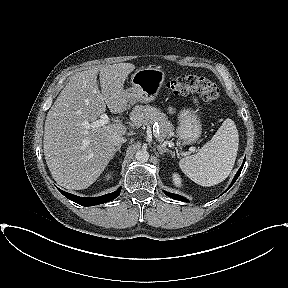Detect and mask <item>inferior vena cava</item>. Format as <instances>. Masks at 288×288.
Listing matches in <instances>:
<instances>
[{"instance_id": "1", "label": "inferior vena cava", "mask_w": 288, "mask_h": 288, "mask_svg": "<svg viewBox=\"0 0 288 288\" xmlns=\"http://www.w3.org/2000/svg\"><path fill=\"white\" fill-rule=\"evenodd\" d=\"M113 142H114V144H115L116 146H118V145L126 142V139H125L124 137H122V136H115V137L113 138Z\"/></svg>"}]
</instances>
